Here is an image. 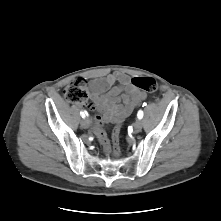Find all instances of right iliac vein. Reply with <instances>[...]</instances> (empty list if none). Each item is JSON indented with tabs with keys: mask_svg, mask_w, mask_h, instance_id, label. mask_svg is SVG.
Here are the masks:
<instances>
[{
	"mask_svg": "<svg viewBox=\"0 0 221 221\" xmlns=\"http://www.w3.org/2000/svg\"><path fill=\"white\" fill-rule=\"evenodd\" d=\"M90 124H91V121L89 118H84L82 121H81V126L83 128H89L90 127Z\"/></svg>",
	"mask_w": 221,
	"mask_h": 221,
	"instance_id": "63e3f726",
	"label": "right iliac vein"
}]
</instances>
